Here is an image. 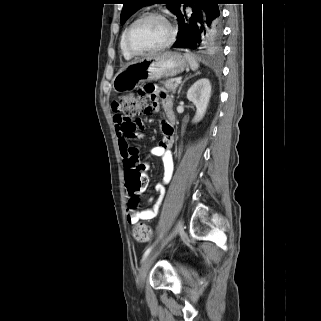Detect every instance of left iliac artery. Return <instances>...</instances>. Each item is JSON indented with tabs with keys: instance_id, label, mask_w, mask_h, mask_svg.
I'll use <instances>...</instances> for the list:
<instances>
[{
	"instance_id": "left-iliac-artery-1",
	"label": "left iliac artery",
	"mask_w": 321,
	"mask_h": 321,
	"mask_svg": "<svg viewBox=\"0 0 321 321\" xmlns=\"http://www.w3.org/2000/svg\"><path fill=\"white\" fill-rule=\"evenodd\" d=\"M154 245H155V243L147 248V250H146V251L144 252V254H143L142 261H144L145 258L150 254V252L152 251Z\"/></svg>"
}]
</instances>
